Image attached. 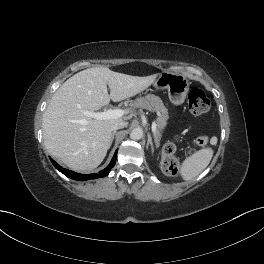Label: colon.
<instances>
[{
    "instance_id": "obj_1",
    "label": "colon",
    "mask_w": 264,
    "mask_h": 264,
    "mask_svg": "<svg viewBox=\"0 0 264 264\" xmlns=\"http://www.w3.org/2000/svg\"><path fill=\"white\" fill-rule=\"evenodd\" d=\"M188 107L192 114L200 115L207 112L210 108V101L205 93L200 89H192L188 94ZM209 143L208 136H201L197 138L196 144L199 147H204ZM176 151V145L170 141L162 148V156L164 159L165 168L168 172L175 175L178 173L179 165L177 160L173 157Z\"/></svg>"
}]
</instances>
